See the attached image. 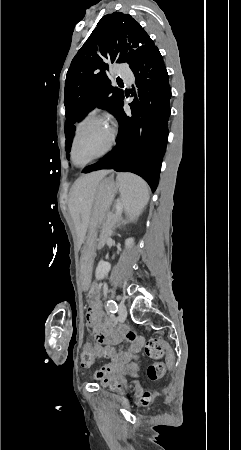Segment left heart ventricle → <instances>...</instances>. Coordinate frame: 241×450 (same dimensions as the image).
Segmentation results:
<instances>
[{
  "mask_svg": "<svg viewBox=\"0 0 241 450\" xmlns=\"http://www.w3.org/2000/svg\"><path fill=\"white\" fill-rule=\"evenodd\" d=\"M104 122H107L104 117L91 115L81 121L80 127L76 129L84 132L83 135H80L84 138L83 148L80 151L83 159L97 160L99 158V153L102 151L101 141L106 139L108 130V127H104Z\"/></svg>",
  "mask_w": 241,
  "mask_h": 450,
  "instance_id": "1",
  "label": "left heart ventricle"
}]
</instances>
